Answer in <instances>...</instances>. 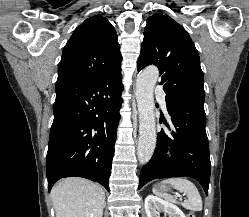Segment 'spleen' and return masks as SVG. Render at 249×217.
Segmentation results:
<instances>
[{
    "mask_svg": "<svg viewBox=\"0 0 249 217\" xmlns=\"http://www.w3.org/2000/svg\"><path fill=\"white\" fill-rule=\"evenodd\" d=\"M162 183H168L174 186L175 189H177L180 192H184L187 195V200H185L182 203V206L188 210L193 211H201L202 210V199L199 194V191L197 187L188 179L186 178H168L166 180H163ZM153 192L157 195L162 196L169 202H176L173 196L170 194H162L159 193L155 188L153 189Z\"/></svg>",
    "mask_w": 249,
    "mask_h": 217,
    "instance_id": "1",
    "label": "spleen"
}]
</instances>
